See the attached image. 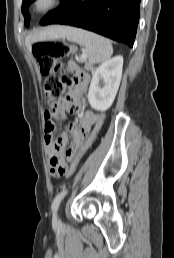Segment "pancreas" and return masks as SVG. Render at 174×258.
<instances>
[{"label": "pancreas", "instance_id": "obj_1", "mask_svg": "<svg viewBox=\"0 0 174 258\" xmlns=\"http://www.w3.org/2000/svg\"><path fill=\"white\" fill-rule=\"evenodd\" d=\"M76 60H77L79 63H83V62H84V63H85V69H86V70L91 71V72L94 71V67H93L91 64H89L85 58L77 57Z\"/></svg>", "mask_w": 174, "mask_h": 258}]
</instances>
